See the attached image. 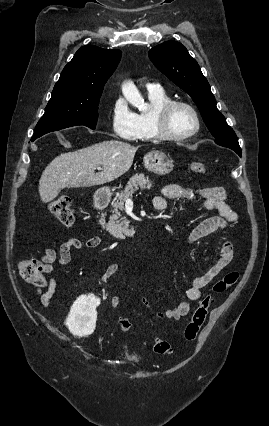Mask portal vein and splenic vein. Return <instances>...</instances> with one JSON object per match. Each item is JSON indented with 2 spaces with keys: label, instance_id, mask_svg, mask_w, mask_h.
<instances>
[{
  "label": "portal vein and splenic vein",
  "instance_id": "18ae733b",
  "mask_svg": "<svg viewBox=\"0 0 269 426\" xmlns=\"http://www.w3.org/2000/svg\"><path fill=\"white\" fill-rule=\"evenodd\" d=\"M97 169H98V170H102V168H101V167H97ZM125 204H126V205H131V204H133V201H132L131 199H126Z\"/></svg>",
  "mask_w": 269,
  "mask_h": 426
}]
</instances>
